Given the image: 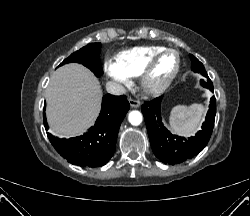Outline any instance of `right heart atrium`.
Returning <instances> with one entry per match:
<instances>
[{"label":"right heart atrium","mask_w":250,"mask_h":216,"mask_svg":"<svg viewBox=\"0 0 250 216\" xmlns=\"http://www.w3.org/2000/svg\"><path fill=\"white\" fill-rule=\"evenodd\" d=\"M105 71L107 75L116 83L127 86L131 83L130 76H128L117 64V62L108 60L105 63Z\"/></svg>","instance_id":"obj_1"}]
</instances>
